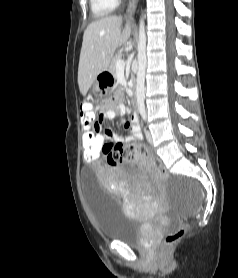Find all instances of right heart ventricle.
Masks as SVG:
<instances>
[{"mask_svg":"<svg viewBox=\"0 0 238 278\" xmlns=\"http://www.w3.org/2000/svg\"><path fill=\"white\" fill-rule=\"evenodd\" d=\"M118 0H90V7L96 18L110 14L117 6Z\"/></svg>","mask_w":238,"mask_h":278,"instance_id":"right-heart-ventricle-1","label":"right heart ventricle"}]
</instances>
